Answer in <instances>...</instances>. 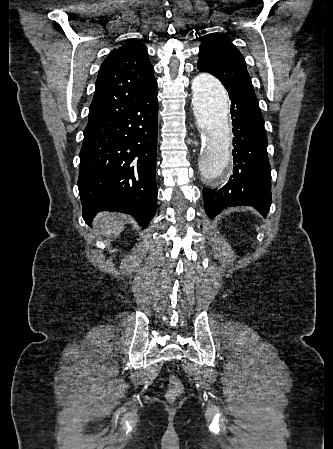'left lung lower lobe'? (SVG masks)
Listing matches in <instances>:
<instances>
[{"instance_id":"obj_1","label":"left lung lower lobe","mask_w":333,"mask_h":449,"mask_svg":"<svg viewBox=\"0 0 333 449\" xmlns=\"http://www.w3.org/2000/svg\"><path fill=\"white\" fill-rule=\"evenodd\" d=\"M233 125L234 174L222 188H204L208 217L227 206H254L266 216L271 205V168L264 119L256 98L228 90Z\"/></svg>"}]
</instances>
